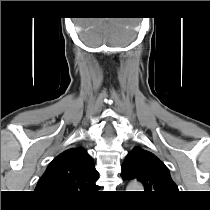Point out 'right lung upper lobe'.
<instances>
[{"instance_id":"cb5924a9","label":"right lung upper lobe","mask_w":210,"mask_h":210,"mask_svg":"<svg viewBox=\"0 0 210 210\" xmlns=\"http://www.w3.org/2000/svg\"><path fill=\"white\" fill-rule=\"evenodd\" d=\"M98 178L87 151L82 147L71 148L53 159L35 191L57 203L70 202L97 190Z\"/></svg>"}]
</instances>
